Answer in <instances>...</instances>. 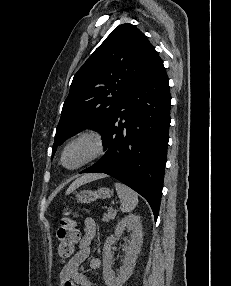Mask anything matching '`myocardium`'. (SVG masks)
Segmentation results:
<instances>
[{
  "label": "myocardium",
  "mask_w": 231,
  "mask_h": 286,
  "mask_svg": "<svg viewBox=\"0 0 231 286\" xmlns=\"http://www.w3.org/2000/svg\"><path fill=\"white\" fill-rule=\"evenodd\" d=\"M80 142H90L93 145L92 153L78 165L73 167H67L64 163L66 152L73 145ZM105 149V140L99 132L94 130H84L74 135L65 143L60 154L59 162L60 165L66 170L76 171L101 158L105 154Z\"/></svg>",
  "instance_id": "myocardium-1"
}]
</instances>
